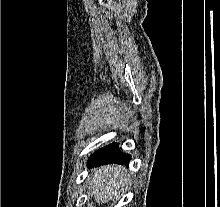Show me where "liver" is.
Segmentation results:
<instances>
[{
    "mask_svg": "<svg viewBox=\"0 0 220 207\" xmlns=\"http://www.w3.org/2000/svg\"><path fill=\"white\" fill-rule=\"evenodd\" d=\"M129 175L123 166L105 165L93 170L90 180L91 195L96 201L108 203L109 200L117 199L122 187L128 184Z\"/></svg>",
    "mask_w": 220,
    "mask_h": 207,
    "instance_id": "liver-1",
    "label": "liver"
}]
</instances>
